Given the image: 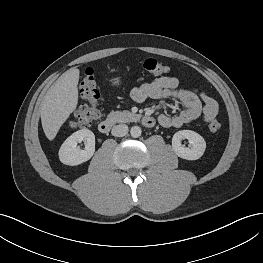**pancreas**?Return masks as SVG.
<instances>
[{
  "mask_svg": "<svg viewBox=\"0 0 263 263\" xmlns=\"http://www.w3.org/2000/svg\"><path fill=\"white\" fill-rule=\"evenodd\" d=\"M137 115L133 114L127 110L125 111H113L108 115V120H111L113 122L117 123H125V122H131L136 120Z\"/></svg>",
  "mask_w": 263,
  "mask_h": 263,
  "instance_id": "cf45deb5",
  "label": "pancreas"
}]
</instances>
